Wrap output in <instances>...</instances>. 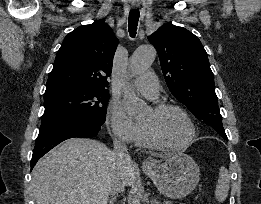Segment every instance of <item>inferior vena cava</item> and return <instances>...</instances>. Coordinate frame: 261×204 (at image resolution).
I'll list each match as a JSON object with an SVG mask.
<instances>
[{"instance_id":"obj_1","label":"inferior vena cava","mask_w":261,"mask_h":204,"mask_svg":"<svg viewBox=\"0 0 261 204\" xmlns=\"http://www.w3.org/2000/svg\"><path fill=\"white\" fill-rule=\"evenodd\" d=\"M114 145V157H115V165L118 169H121L129 160L130 156L127 154L126 145L119 139L115 138L113 141ZM124 183L122 182L119 175L114 177L111 183L110 193L115 195L117 193H121L124 191Z\"/></svg>"}]
</instances>
